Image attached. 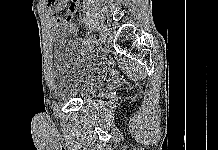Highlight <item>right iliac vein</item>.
Masks as SVG:
<instances>
[{
    "label": "right iliac vein",
    "instance_id": "obj_1",
    "mask_svg": "<svg viewBox=\"0 0 218 150\" xmlns=\"http://www.w3.org/2000/svg\"><path fill=\"white\" fill-rule=\"evenodd\" d=\"M99 31H100V38L98 39L100 42L103 41L104 43L109 42L111 39V34L108 31V29L105 26H100L99 27ZM96 41L93 43L94 47H97L98 44L100 43L99 41Z\"/></svg>",
    "mask_w": 218,
    "mask_h": 150
}]
</instances>
